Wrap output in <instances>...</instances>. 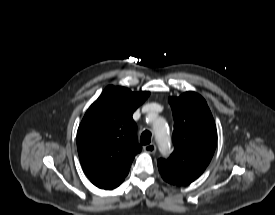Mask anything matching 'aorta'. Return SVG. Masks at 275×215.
Returning a JSON list of instances; mask_svg holds the SVG:
<instances>
[{
	"instance_id": "aorta-1",
	"label": "aorta",
	"mask_w": 275,
	"mask_h": 215,
	"mask_svg": "<svg viewBox=\"0 0 275 215\" xmlns=\"http://www.w3.org/2000/svg\"><path fill=\"white\" fill-rule=\"evenodd\" d=\"M155 138L162 153L168 151L171 147V139L165 121L157 118L153 126Z\"/></svg>"
}]
</instances>
